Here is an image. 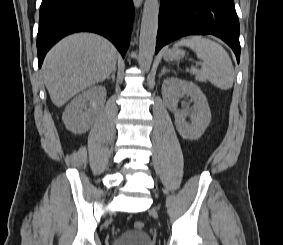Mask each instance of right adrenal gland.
<instances>
[{"label":"right adrenal gland","mask_w":283,"mask_h":245,"mask_svg":"<svg viewBox=\"0 0 283 245\" xmlns=\"http://www.w3.org/2000/svg\"><path fill=\"white\" fill-rule=\"evenodd\" d=\"M115 74H116V68L113 70L112 74L107 78V80L112 79V81L115 82Z\"/></svg>","instance_id":"right-adrenal-gland-1"}]
</instances>
